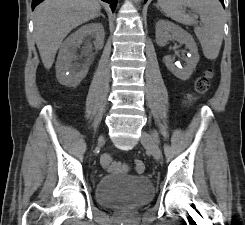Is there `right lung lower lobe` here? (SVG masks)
<instances>
[{
    "label": "right lung lower lobe",
    "instance_id": "right-lung-lower-lobe-1",
    "mask_svg": "<svg viewBox=\"0 0 245 225\" xmlns=\"http://www.w3.org/2000/svg\"><path fill=\"white\" fill-rule=\"evenodd\" d=\"M43 0H32V9H34L39 3H41ZM109 4H111V8L114 11L116 4H117V0H103Z\"/></svg>",
    "mask_w": 245,
    "mask_h": 225
}]
</instances>
